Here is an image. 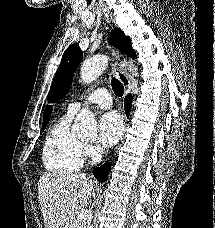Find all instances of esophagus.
I'll list each match as a JSON object with an SVG mask.
<instances>
[{
	"instance_id": "obj_1",
	"label": "esophagus",
	"mask_w": 215,
	"mask_h": 228,
	"mask_svg": "<svg viewBox=\"0 0 215 228\" xmlns=\"http://www.w3.org/2000/svg\"><path fill=\"white\" fill-rule=\"evenodd\" d=\"M112 56L114 58V65H113V73L116 75L118 80L122 83L124 87V91L126 95H130L131 93V82L129 77L126 75L125 71L123 68H121L118 64V62L121 59V55L118 50L115 48L111 49Z\"/></svg>"
}]
</instances>
